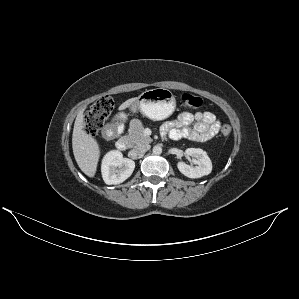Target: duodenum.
<instances>
[{"label": "duodenum", "instance_id": "410a0bca", "mask_svg": "<svg viewBox=\"0 0 299 299\" xmlns=\"http://www.w3.org/2000/svg\"><path fill=\"white\" fill-rule=\"evenodd\" d=\"M123 126L120 124H110L104 130V136L107 139H113L117 134L121 133ZM117 149L125 151L128 148V142L124 137H120L115 142Z\"/></svg>", "mask_w": 299, "mask_h": 299}]
</instances>
